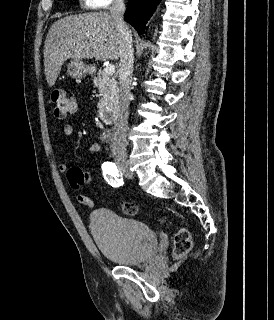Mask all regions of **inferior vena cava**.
<instances>
[{
    "label": "inferior vena cava",
    "mask_w": 274,
    "mask_h": 320,
    "mask_svg": "<svg viewBox=\"0 0 274 320\" xmlns=\"http://www.w3.org/2000/svg\"><path fill=\"white\" fill-rule=\"evenodd\" d=\"M124 12V0H113L112 6H110V14L113 18L115 32L117 36H119L121 42L120 68L118 70L120 100L117 126H119L120 132H122V134L127 130V120L129 116V98L134 64L132 34L126 22H124ZM123 142H125L124 138ZM125 146L126 144H123V148H125Z\"/></svg>",
    "instance_id": "inferior-vena-cava-1"
}]
</instances>
